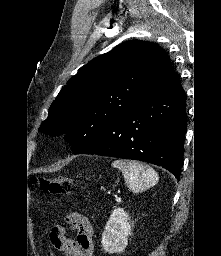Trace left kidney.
<instances>
[{
    "label": "left kidney",
    "mask_w": 221,
    "mask_h": 256,
    "mask_svg": "<svg viewBox=\"0 0 221 256\" xmlns=\"http://www.w3.org/2000/svg\"><path fill=\"white\" fill-rule=\"evenodd\" d=\"M128 214L123 208H116L112 212L105 231L102 234V246L105 252L121 253L128 244V236L132 234Z\"/></svg>",
    "instance_id": "obj_1"
}]
</instances>
